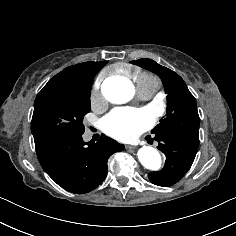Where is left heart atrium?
I'll use <instances>...</instances> for the list:
<instances>
[{
	"instance_id": "left-heart-atrium-1",
	"label": "left heart atrium",
	"mask_w": 236,
	"mask_h": 236,
	"mask_svg": "<svg viewBox=\"0 0 236 236\" xmlns=\"http://www.w3.org/2000/svg\"><path fill=\"white\" fill-rule=\"evenodd\" d=\"M151 118L146 110L118 108L103 121V129L110 136L127 141L137 137L150 124Z\"/></svg>"
}]
</instances>
